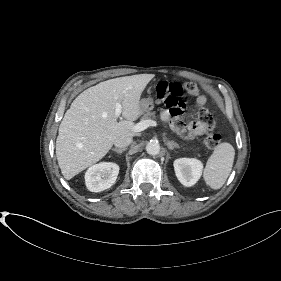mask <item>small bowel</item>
I'll return each mask as SVG.
<instances>
[{
  "label": "small bowel",
  "instance_id": "obj_1",
  "mask_svg": "<svg viewBox=\"0 0 281 281\" xmlns=\"http://www.w3.org/2000/svg\"><path fill=\"white\" fill-rule=\"evenodd\" d=\"M206 97L204 95H199L196 98V104L199 107L204 109L206 105ZM161 118L164 122L168 123L171 129L176 132L178 135L184 138H193L195 136L203 134L204 130L202 129L199 121H192L190 123H184L177 118L171 117L168 110H163L161 112Z\"/></svg>",
  "mask_w": 281,
  "mask_h": 281
}]
</instances>
